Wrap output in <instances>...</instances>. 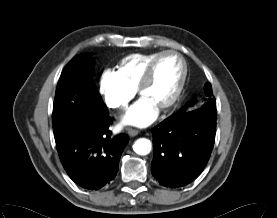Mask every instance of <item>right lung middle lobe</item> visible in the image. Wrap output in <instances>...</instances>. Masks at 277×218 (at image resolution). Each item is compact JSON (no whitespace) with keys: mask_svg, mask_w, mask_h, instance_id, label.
Returning a JSON list of instances; mask_svg holds the SVG:
<instances>
[{"mask_svg":"<svg viewBox=\"0 0 277 218\" xmlns=\"http://www.w3.org/2000/svg\"><path fill=\"white\" fill-rule=\"evenodd\" d=\"M94 58L90 54L76 55L64 68L59 83L76 82L85 87L88 96L84 103L55 98L53 104V130L55 141L60 142L73 131L91 124L108 114L91 79Z\"/></svg>","mask_w":277,"mask_h":218,"instance_id":"right-lung-middle-lobe-1","label":"right lung middle lobe"}]
</instances>
